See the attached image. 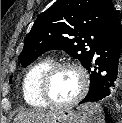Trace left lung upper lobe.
I'll list each match as a JSON object with an SVG mask.
<instances>
[{"mask_svg":"<svg viewBox=\"0 0 122 123\" xmlns=\"http://www.w3.org/2000/svg\"><path fill=\"white\" fill-rule=\"evenodd\" d=\"M116 16L109 0H57L36 19L26 36L19 57L22 66L46 51L62 49L86 67L95 45Z\"/></svg>","mask_w":122,"mask_h":123,"instance_id":"1","label":"left lung upper lobe"}]
</instances>
